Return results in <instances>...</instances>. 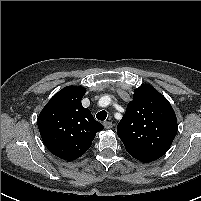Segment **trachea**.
Listing matches in <instances>:
<instances>
[{
  "instance_id": "obj_1",
  "label": "trachea",
  "mask_w": 201,
  "mask_h": 201,
  "mask_svg": "<svg viewBox=\"0 0 201 201\" xmlns=\"http://www.w3.org/2000/svg\"><path fill=\"white\" fill-rule=\"evenodd\" d=\"M96 118L100 121H104L107 118V112L106 111H100L97 113Z\"/></svg>"
}]
</instances>
